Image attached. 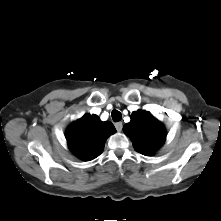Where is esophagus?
I'll use <instances>...</instances> for the list:
<instances>
[{
  "mask_svg": "<svg viewBox=\"0 0 221 221\" xmlns=\"http://www.w3.org/2000/svg\"><path fill=\"white\" fill-rule=\"evenodd\" d=\"M115 128H116L117 131L120 132L122 130V128H123L122 122L115 123Z\"/></svg>",
  "mask_w": 221,
  "mask_h": 221,
  "instance_id": "34e87169",
  "label": "esophagus"
}]
</instances>
